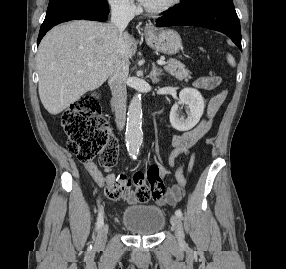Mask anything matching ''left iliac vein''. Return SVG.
<instances>
[{
  "instance_id": "obj_1",
  "label": "left iliac vein",
  "mask_w": 286,
  "mask_h": 269,
  "mask_svg": "<svg viewBox=\"0 0 286 269\" xmlns=\"http://www.w3.org/2000/svg\"><path fill=\"white\" fill-rule=\"evenodd\" d=\"M171 225L180 244H184V231L180 217L171 216Z\"/></svg>"
}]
</instances>
